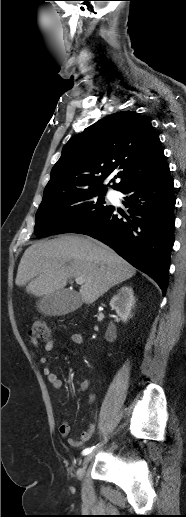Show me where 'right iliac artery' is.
Here are the masks:
<instances>
[{"label":"right iliac artery","mask_w":186,"mask_h":517,"mask_svg":"<svg viewBox=\"0 0 186 517\" xmlns=\"http://www.w3.org/2000/svg\"><path fill=\"white\" fill-rule=\"evenodd\" d=\"M95 447H91V448H86L83 450L82 454L83 455H88L89 453H91L93 450H94Z\"/></svg>","instance_id":"obj_1"}]
</instances>
